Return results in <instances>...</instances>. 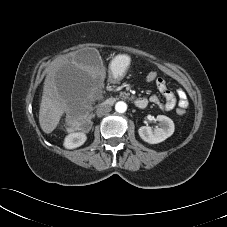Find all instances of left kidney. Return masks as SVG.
I'll use <instances>...</instances> for the list:
<instances>
[{"mask_svg":"<svg viewBox=\"0 0 227 227\" xmlns=\"http://www.w3.org/2000/svg\"><path fill=\"white\" fill-rule=\"evenodd\" d=\"M159 127L152 129L149 126H142L138 129L139 136L142 140L150 144L163 142L174 132L173 121L164 115H158Z\"/></svg>","mask_w":227,"mask_h":227,"instance_id":"1","label":"left kidney"}]
</instances>
